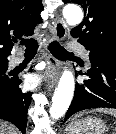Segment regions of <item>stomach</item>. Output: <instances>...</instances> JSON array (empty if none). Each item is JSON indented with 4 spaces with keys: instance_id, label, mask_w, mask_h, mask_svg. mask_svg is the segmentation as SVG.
<instances>
[{
    "instance_id": "0dacf381",
    "label": "stomach",
    "mask_w": 116,
    "mask_h": 134,
    "mask_svg": "<svg viewBox=\"0 0 116 134\" xmlns=\"http://www.w3.org/2000/svg\"><path fill=\"white\" fill-rule=\"evenodd\" d=\"M107 130L103 120L96 117H87L69 124L66 134H105Z\"/></svg>"
}]
</instances>
